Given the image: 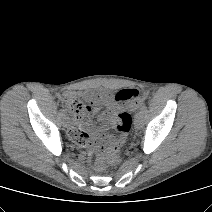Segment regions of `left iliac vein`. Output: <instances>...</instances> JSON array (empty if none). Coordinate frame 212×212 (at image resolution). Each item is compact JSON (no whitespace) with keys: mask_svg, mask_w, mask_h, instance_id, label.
I'll use <instances>...</instances> for the list:
<instances>
[{"mask_svg":"<svg viewBox=\"0 0 212 212\" xmlns=\"http://www.w3.org/2000/svg\"><path fill=\"white\" fill-rule=\"evenodd\" d=\"M143 114L139 111L135 115L134 126L136 129H140L142 127Z\"/></svg>","mask_w":212,"mask_h":212,"instance_id":"1","label":"left iliac vein"}]
</instances>
